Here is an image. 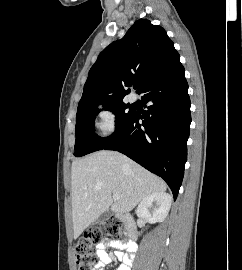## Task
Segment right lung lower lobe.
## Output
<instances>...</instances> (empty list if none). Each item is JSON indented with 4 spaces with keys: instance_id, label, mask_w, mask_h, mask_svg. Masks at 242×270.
<instances>
[{
    "instance_id": "1",
    "label": "right lung lower lobe",
    "mask_w": 242,
    "mask_h": 270,
    "mask_svg": "<svg viewBox=\"0 0 242 270\" xmlns=\"http://www.w3.org/2000/svg\"><path fill=\"white\" fill-rule=\"evenodd\" d=\"M184 72L178 61L151 80L140 92L148 110L142 115L134 111L121 131L102 147L121 152L162 177L174 200L184 175L191 123ZM139 119H144L142 124Z\"/></svg>"
}]
</instances>
